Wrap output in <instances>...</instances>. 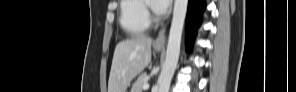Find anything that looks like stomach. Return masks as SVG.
Listing matches in <instances>:
<instances>
[{
	"label": "stomach",
	"instance_id": "0dacf381",
	"mask_svg": "<svg viewBox=\"0 0 296 92\" xmlns=\"http://www.w3.org/2000/svg\"><path fill=\"white\" fill-rule=\"evenodd\" d=\"M156 51H159V48H156Z\"/></svg>",
	"mask_w": 296,
	"mask_h": 92
}]
</instances>
